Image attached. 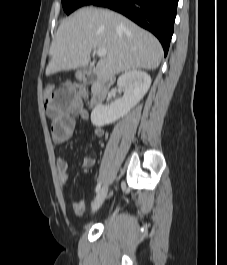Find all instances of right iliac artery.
Masks as SVG:
<instances>
[{"label":"right iliac artery","mask_w":227,"mask_h":265,"mask_svg":"<svg viewBox=\"0 0 227 265\" xmlns=\"http://www.w3.org/2000/svg\"><path fill=\"white\" fill-rule=\"evenodd\" d=\"M101 189V182H99L96 186L95 192L98 193Z\"/></svg>","instance_id":"82829eb1"}]
</instances>
